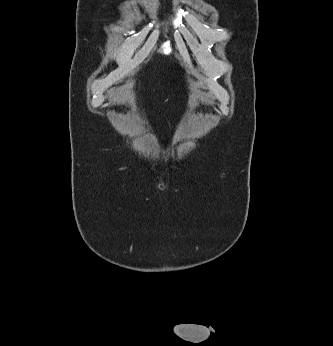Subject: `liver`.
<instances>
[{"label": "liver", "instance_id": "obj_1", "mask_svg": "<svg viewBox=\"0 0 333 346\" xmlns=\"http://www.w3.org/2000/svg\"><path fill=\"white\" fill-rule=\"evenodd\" d=\"M132 88H133V82L127 83L125 86H123L119 95L117 96L116 101L125 102L130 97Z\"/></svg>", "mask_w": 333, "mask_h": 346}]
</instances>
